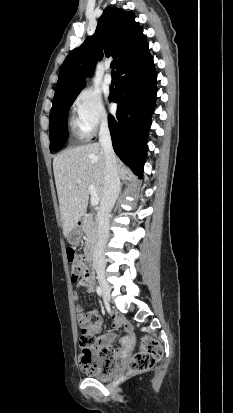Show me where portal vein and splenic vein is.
<instances>
[{"mask_svg":"<svg viewBox=\"0 0 233 413\" xmlns=\"http://www.w3.org/2000/svg\"><path fill=\"white\" fill-rule=\"evenodd\" d=\"M88 191L91 195V205L92 206L98 205L100 198H99L98 194L96 193L94 186L89 185Z\"/></svg>","mask_w":233,"mask_h":413,"instance_id":"portal-vein-and-splenic-vein-1","label":"portal vein and splenic vein"}]
</instances>
